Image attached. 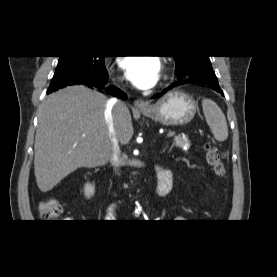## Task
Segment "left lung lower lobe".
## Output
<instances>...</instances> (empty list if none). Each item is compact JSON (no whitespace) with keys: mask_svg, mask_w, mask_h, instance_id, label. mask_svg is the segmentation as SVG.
I'll return each instance as SVG.
<instances>
[{"mask_svg":"<svg viewBox=\"0 0 277 277\" xmlns=\"http://www.w3.org/2000/svg\"><path fill=\"white\" fill-rule=\"evenodd\" d=\"M203 83L206 84L209 88L217 91L218 93H221L223 95V92L221 88L219 87L217 77L215 74H204V75H195V76H190L187 78H181L179 81L176 83L172 84L168 88H166L163 92L154 95L153 98H157L162 96L164 93H166L168 90L174 88L177 85H181L184 83Z\"/></svg>","mask_w":277,"mask_h":277,"instance_id":"1","label":"left lung lower lobe"}]
</instances>
